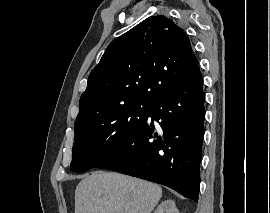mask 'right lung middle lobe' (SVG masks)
I'll return each mask as SVG.
<instances>
[{
	"mask_svg": "<svg viewBox=\"0 0 270 213\" xmlns=\"http://www.w3.org/2000/svg\"><path fill=\"white\" fill-rule=\"evenodd\" d=\"M152 105L130 103L75 123L71 170L87 171L109 157L143 126Z\"/></svg>",
	"mask_w": 270,
	"mask_h": 213,
	"instance_id": "obj_1",
	"label": "right lung middle lobe"
}]
</instances>
